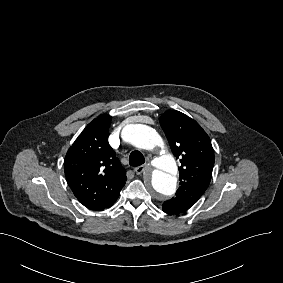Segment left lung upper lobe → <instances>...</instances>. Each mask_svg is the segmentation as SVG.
<instances>
[{
  "label": "left lung upper lobe",
  "instance_id": "5c2ea615",
  "mask_svg": "<svg viewBox=\"0 0 283 283\" xmlns=\"http://www.w3.org/2000/svg\"><path fill=\"white\" fill-rule=\"evenodd\" d=\"M159 120L173 154L181 162L176 196L163 204L190 208L206 191L212 177L214 152L210 138L195 120L179 111H167Z\"/></svg>",
  "mask_w": 283,
  "mask_h": 283
}]
</instances>
